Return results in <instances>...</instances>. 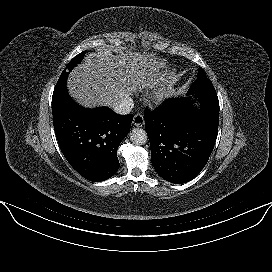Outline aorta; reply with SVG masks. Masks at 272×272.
Listing matches in <instances>:
<instances>
[{"mask_svg": "<svg viewBox=\"0 0 272 272\" xmlns=\"http://www.w3.org/2000/svg\"><path fill=\"white\" fill-rule=\"evenodd\" d=\"M130 140L135 145H144L148 140V136L144 129L134 128L130 132Z\"/></svg>", "mask_w": 272, "mask_h": 272, "instance_id": "762f6f07", "label": "aorta"}]
</instances>
